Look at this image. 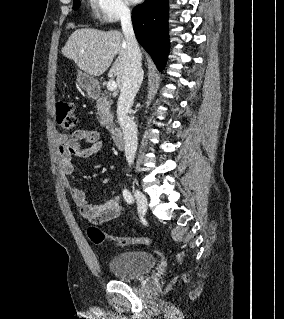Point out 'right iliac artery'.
<instances>
[{"label": "right iliac artery", "instance_id": "right-iliac-artery-1", "mask_svg": "<svg viewBox=\"0 0 284 319\" xmlns=\"http://www.w3.org/2000/svg\"><path fill=\"white\" fill-rule=\"evenodd\" d=\"M123 197H124L125 201L128 204H132L133 203V197H132L131 193L127 189L123 190Z\"/></svg>", "mask_w": 284, "mask_h": 319}]
</instances>
